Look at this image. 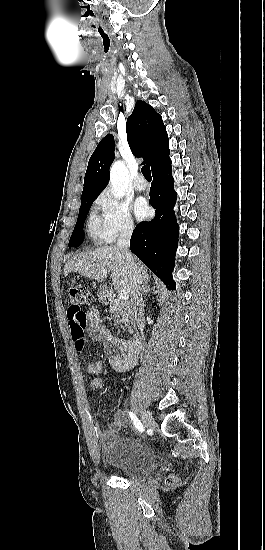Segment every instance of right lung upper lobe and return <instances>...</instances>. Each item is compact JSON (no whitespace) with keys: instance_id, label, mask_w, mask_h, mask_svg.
I'll list each match as a JSON object with an SVG mask.
<instances>
[{"instance_id":"right-lung-upper-lobe-1","label":"right lung upper lobe","mask_w":265,"mask_h":550,"mask_svg":"<svg viewBox=\"0 0 265 550\" xmlns=\"http://www.w3.org/2000/svg\"><path fill=\"white\" fill-rule=\"evenodd\" d=\"M127 140L134 156L145 157L143 164L153 169L170 153L168 136L162 117L149 104L137 101L127 119ZM115 143L111 134L106 135L90 157L84 178L81 199L97 198L109 180V169L114 160Z\"/></svg>"}]
</instances>
